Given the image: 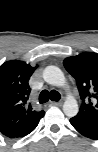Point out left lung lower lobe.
<instances>
[{
    "label": "left lung lower lobe",
    "mask_w": 98,
    "mask_h": 152,
    "mask_svg": "<svg viewBox=\"0 0 98 152\" xmlns=\"http://www.w3.org/2000/svg\"><path fill=\"white\" fill-rule=\"evenodd\" d=\"M70 123L80 134L91 139H98V124L75 117L70 119Z\"/></svg>",
    "instance_id": "left-lung-lower-lobe-1"
}]
</instances>
